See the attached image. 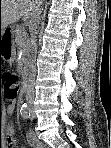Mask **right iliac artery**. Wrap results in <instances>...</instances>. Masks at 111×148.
Wrapping results in <instances>:
<instances>
[{
    "instance_id": "right-iliac-artery-1",
    "label": "right iliac artery",
    "mask_w": 111,
    "mask_h": 148,
    "mask_svg": "<svg viewBox=\"0 0 111 148\" xmlns=\"http://www.w3.org/2000/svg\"><path fill=\"white\" fill-rule=\"evenodd\" d=\"M20 113H21V116H22L24 119L29 118L30 112H29V109H28L26 103H24V104L22 105L21 110H20Z\"/></svg>"
}]
</instances>
